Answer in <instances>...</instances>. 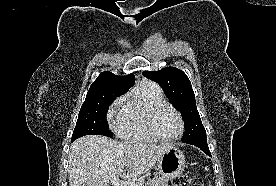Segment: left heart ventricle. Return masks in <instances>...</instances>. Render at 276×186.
Instances as JSON below:
<instances>
[{
  "instance_id": "1",
  "label": "left heart ventricle",
  "mask_w": 276,
  "mask_h": 186,
  "mask_svg": "<svg viewBox=\"0 0 276 186\" xmlns=\"http://www.w3.org/2000/svg\"><path fill=\"white\" fill-rule=\"evenodd\" d=\"M157 132L165 138H172L180 131V120L176 113L168 107L162 108L155 119Z\"/></svg>"
}]
</instances>
